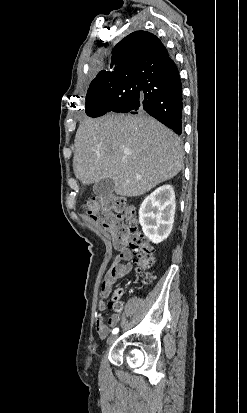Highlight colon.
I'll use <instances>...</instances> for the list:
<instances>
[{
  "instance_id": "obj_1",
  "label": "colon",
  "mask_w": 247,
  "mask_h": 413,
  "mask_svg": "<svg viewBox=\"0 0 247 413\" xmlns=\"http://www.w3.org/2000/svg\"><path fill=\"white\" fill-rule=\"evenodd\" d=\"M85 209L94 221L113 235V244L117 249H122L126 243L129 244L141 282L150 283L154 276L147 268L156 261L154 250L139 230L133 226L127 230L123 225V220L136 222V208L115 196L105 195L87 201ZM110 307H122V304H110Z\"/></svg>"
}]
</instances>
